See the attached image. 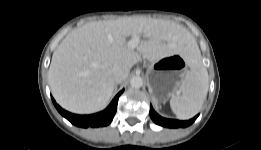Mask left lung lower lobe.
Returning a JSON list of instances; mask_svg holds the SVG:
<instances>
[{
    "label": "left lung lower lobe",
    "mask_w": 261,
    "mask_h": 150,
    "mask_svg": "<svg viewBox=\"0 0 261 150\" xmlns=\"http://www.w3.org/2000/svg\"><path fill=\"white\" fill-rule=\"evenodd\" d=\"M150 116L151 119L158 125L163 126V127H169V128H178V127H187L191 125L196 118L198 117L195 116L193 119L188 120V121H179V120H172V119H166L161 116H159L152 108H150Z\"/></svg>",
    "instance_id": "1"
}]
</instances>
